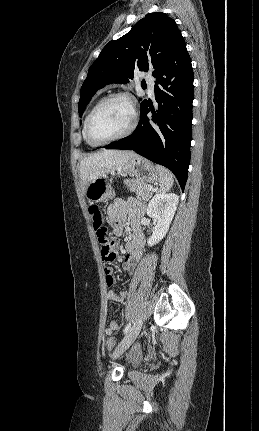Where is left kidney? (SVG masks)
<instances>
[{"instance_id":"1","label":"left kidney","mask_w":259,"mask_h":431,"mask_svg":"<svg viewBox=\"0 0 259 431\" xmlns=\"http://www.w3.org/2000/svg\"><path fill=\"white\" fill-rule=\"evenodd\" d=\"M179 202L178 195L174 193H158L148 203L147 215L152 217L157 224L153 228L152 235L148 238V246H153L161 241L169 230Z\"/></svg>"}]
</instances>
